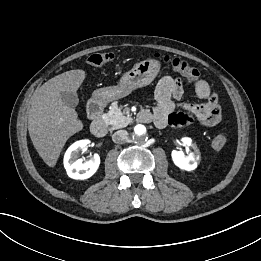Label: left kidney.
<instances>
[{
  "label": "left kidney",
  "instance_id": "left-kidney-1",
  "mask_svg": "<svg viewBox=\"0 0 261 261\" xmlns=\"http://www.w3.org/2000/svg\"><path fill=\"white\" fill-rule=\"evenodd\" d=\"M182 142L188 146H192L194 151L186 156L182 151L173 150L171 153L172 160L180 169L192 171L197 168L200 161V151L196 145L192 144L190 138H183Z\"/></svg>",
  "mask_w": 261,
  "mask_h": 261
}]
</instances>
